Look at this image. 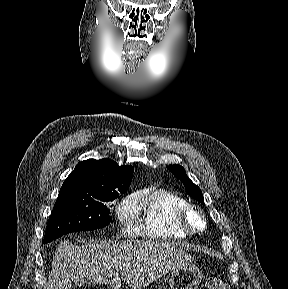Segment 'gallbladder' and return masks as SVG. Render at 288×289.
Segmentation results:
<instances>
[{
	"label": "gallbladder",
	"mask_w": 288,
	"mask_h": 289,
	"mask_svg": "<svg viewBox=\"0 0 288 289\" xmlns=\"http://www.w3.org/2000/svg\"><path fill=\"white\" fill-rule=\"evenodd\" d=\"M71 281L77 286H83L86 282V280L78 272L72 273Z\"/></svg>",
	"instance_id": "gallbladder-1"
}]
</instances>
